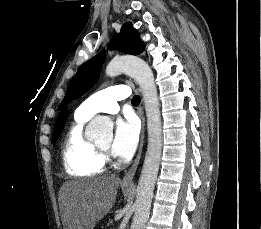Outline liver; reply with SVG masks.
<instances>
[{
    "mask_svg": "<svg viewBox=\"0 0 261 229\" xmlns=\"http://www.w3.org/2000/svg\"><path fill=\"white\" fill-rule=\"evenodd\" d=\"M120 179L97 177L78 179L64 185V225L67 229H94L110 209L117 195Z\"/></svg>",
    "mask_w": 261,
    "mask_h": 229,
    "instance_id": "liver-1",
    "label": "liver"
}]
</instances>
